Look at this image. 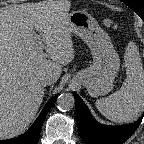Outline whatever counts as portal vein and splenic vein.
Segmentation results:
<instances>
[{
  "label": "portal vein and splenic vein",
  "instance_id": "1",
  "mask_svg": "<svg viewBox=\"0 0 144 144\" xmlns=\"http://www.w3.org/2000/svg\"><path fill=\"white\" fill-rule=\"evenodd\" d=\"M39 43H40V45H41V48H43L42 42H39Z\"/></svg>",
  "mask_w": 144,
  "mask_h": 144
}]
</instances>
